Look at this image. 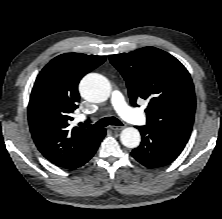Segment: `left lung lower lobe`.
I'll return each instance as SVG.
<instances>
[{
	"mask_svg": "<svg viewBox=\"0 0 222 219\" xmlns=\"http://www.w3.org/2000/svg\"><path fill=\"white\" fill-rule=\"evenodd\" d=\"M142 142L135 148L131 155L142 165L148 168L161 167L175 160L186 142H183L169 134L156 131L146 126H137Z\"/></svg>",
	"mask_w": 222,
	"mask_h": 219,
	"instance_id": "obj_1",
	"label": "left lung lower lobe"
}]
</instances>
